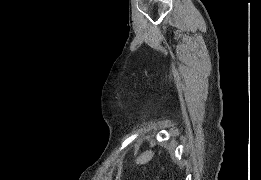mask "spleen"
Listing matches in <instances>:
<instances>
[{
    "label": "spleen",
    "mask_w": 261,
    "mask_h": 180,
    "mask_svg": "<svg viewBox=\"0 0 261 180\" xmlns=\"http://www.w3.org/2000/svg\"><path fill=\"white\" fill-rule=\"evenodd\" d=\"M154 154L151 152V150H147V152H143V154H140L136 160V164H148L150 160H152Z\"/></svg>",
    "instance_id": "3e777b00"
}]
</instances>
